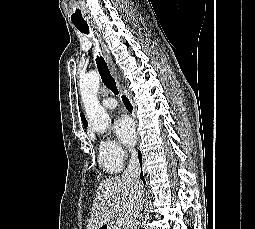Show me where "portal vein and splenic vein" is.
I'll return each instance as SVG.
<instances>
[{
	"instance_id": "18ae733b",
	"label": "portal vein and splenic vein",
	"mask_w": 255,
	"mask_h": 229,
	"mask_svg": "<svg viewBox=\"0 0 255 229\" xmlns=\"http://www.w3.org/2000/svg\"><path fill=\"white\" fill-rule=\"evenodd\" d=\"M117 226H122L124 224V218L123 217H118L116 221Z\"/></svg>"
}]
</instances>
